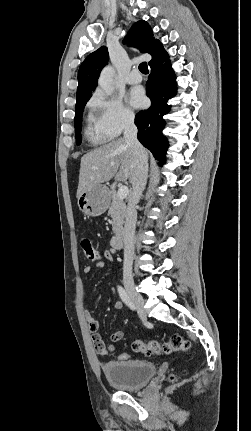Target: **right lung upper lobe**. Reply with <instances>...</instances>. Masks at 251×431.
Segmentation results:
<instances>
[{
	"label": "right lung upper lobe",
	"instance_id": "obj_1",
	"mask_svg": "<svg viewBox=\"0 0 251 431\" xmlns=\"http://www.w3.org/2000/svg\"><path fill=\"white\" fill-rule=\"evenodd\" d=\"M124 42L139 48L142 53H149L152 56L149 65L162 62L168 57L162 43L153 37V32L146 21L140 20L134 23ZM108 59L107 47H101L86 57L78 71L77 99L92 94L97 86L99 74Z\"/></svg>",
	"mask_w": 251,
	"mask_h": 431
}]
</instances>
